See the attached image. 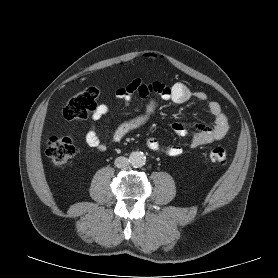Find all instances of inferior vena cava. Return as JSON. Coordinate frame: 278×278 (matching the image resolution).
Here are the masks:
<instances>
[{
    "mask_svg": "<svg viewBox=\"0 0 278 278\" xmlns=\"http://www.w3.org/2000/svg\"><path fill=\"white\" fill-rule=\"evenodd\" d=\"M129 159L123 156L117 157L115 159V167L117 168H126L129 165Z\"/></svg>",
    "mask_w": 278,
    "mask_h": 278,
    "instance_id": "inferior-vena-cava-1",
    "label": "inferior vena cava"
}]
</instances>
